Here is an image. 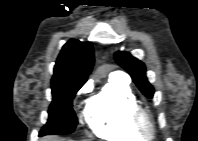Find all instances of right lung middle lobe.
<instances>
[{
    "instance_id": "1",
    "label": "right lung middle lobe",
    "mask_w": 198,
    "mask_h": 141,
    "mask_svg": "<svg viewBox=\"0 0 198 141\" xmlns=\"http://www.w3.org/2000/svg\"><path fill=\"white\" fill-rule=\"evenodd\" d=\"M83 82L52 83L53 100L49 107L47 124L39 135L69 134L77 125V118L72 109V101Z\"/></svg>"
}]
</instances>
